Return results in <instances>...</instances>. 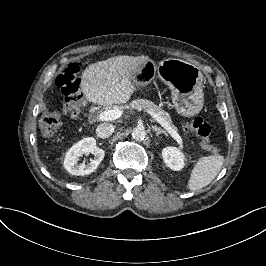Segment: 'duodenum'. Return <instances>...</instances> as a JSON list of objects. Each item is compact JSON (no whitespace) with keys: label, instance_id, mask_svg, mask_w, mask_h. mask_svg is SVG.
<instances>
[{"label":"duodenum","instance_id":"410a0bca","mask_svg":"<svg viewBox=\"0 0 266 266\" xmlns=\"http://www.w3.org/2000/svg\"><path fill=\"white\" fill-rule=\"evenodd\" d=\"M94 111H95V110H94V109H92V110H91V113L93 114V113H94Z\"/></svg>","mask_w":266,"mask_h":266}]
</instances>
